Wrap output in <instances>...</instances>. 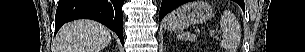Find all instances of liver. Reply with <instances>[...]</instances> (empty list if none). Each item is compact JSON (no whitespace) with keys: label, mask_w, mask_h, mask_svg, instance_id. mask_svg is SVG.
Segmentation results:
<instances>
[{"label":"liver","mask_w":305,"mask_h":52,"mask_svg":"<svg viewBox=\"0 0 305 52\" xmlns=\"http://www.w3.org/2000/svg\"><path fill=\"white\" fill-rule=\"evenodd\" d=\"M111 41L110 30L91 20L65 24L58 33L57 52H100Z\"/></svg>","instance_id":"liver-1"}]
</instances>
